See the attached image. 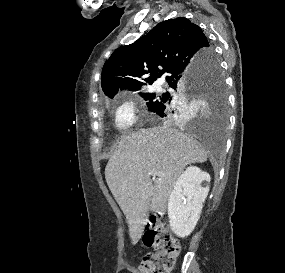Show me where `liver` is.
Returning a JSON list of instances; mask_svg holds the SVG:
<instances>
[{"mask_svg": "<svg viewBox=\"0 0 285 273\" xmlns=\"http://www.w3.org/2000/svg\"><path fill=\"white\" fill-rule=\"evenodd\" d=\"M206 150L193 137L168 124L123 136L105 168L108 187L126 216L134 244L140 239L149 210L164 214L184 168L203 163ZM163 176L151 180V171Z\"/></svg>", "mask_w": 285, "mask_h": 273, "instance_id": "liver-1", "label": "liver"}]
</instances>
